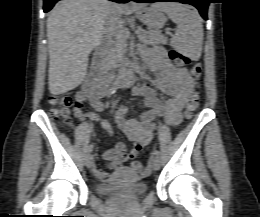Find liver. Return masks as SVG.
<instances>
[{"label": "liver", "instance_id": "liver-1", "mask_svg": "<svg viewBox=\"0 0 260 217\" xmlns=\"http://www.w3.org/2000/svg\"><path fill=\"white\" fill-rule=\"evenodd\" d=\"M127 7L108 0H62L47 20L49 91L64 94L85 79L88 56L102 41L111 9Z\"/></svg>", "mask_w": 260, "mask_h": 217}]
</instances>
